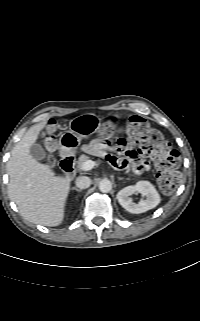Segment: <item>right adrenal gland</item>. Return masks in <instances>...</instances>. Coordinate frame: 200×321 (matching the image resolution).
Segmentation results:
<instances>
[{
	"mask_svg": "<svg viewBox=\"0 0 200 321\" xmlns=\"http://www.w3.org/2000/svg\"><path fill=\"white\" fill-rule=\"evenodd\" d=\"M72 190H75V191H78V192L82 191V189H78L77 187H73Z\"/></svg>",
	"mask_w": 200,
	"mask_h": 321,
	"instance_id": "1",
	"label": "right adrenal gland"
}]
</instances>
